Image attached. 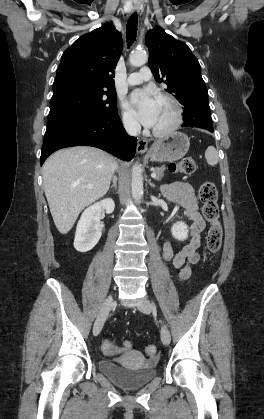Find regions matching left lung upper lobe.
<instances>
[{
	"mask_svg": "<svg viewBox=\"0 0 264 419\" xmlns=\"http://www.w3.org/2000/svg\"><path fill=\"white\" fill-rule=\"evenodd\" d=\"M145 43L149 49L148 66L155 80L164 82L166 91L184 108H196L208 101L200 64L184 42L176 40L161 27H155L147 32Z\"/></svg>",
	"mask_w": 264,
	"mask_h": 419,
	"instance_id": "5c2ea615",
	"label": "left lung upper lobe"
}]
</instances>
